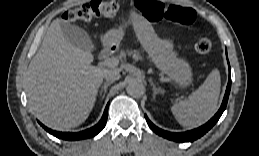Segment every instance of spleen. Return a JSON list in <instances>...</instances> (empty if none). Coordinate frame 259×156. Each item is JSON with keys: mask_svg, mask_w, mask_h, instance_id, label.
<instances>
[{"mask_svg": "<svg viewBox=\"0 0 259 156\" xmlns=\"http://www.w3.org/2000/svg\"><path fill=\"white\" fill-rule=\"evenodd\" d=\"M220 87V73L214 69L187 100L171 107L176 120L184 127H197L208 121L216 112Z\"/></svg>", "mask_w": 259, "mask_h": 156, "instance_id": "spleen-1", "label": "spleen"}]
</instances>
